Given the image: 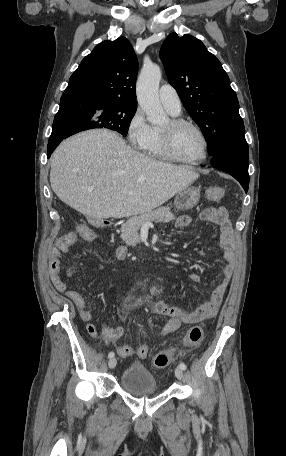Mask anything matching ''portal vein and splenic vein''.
I'll list each match as a JSON object with an SVG mask.
<instances>
[{
    "instance_id": "obj_1",
    "label": "portal vein and splenic vein",
    "mask_w": 286,
    "mask_h": 456,
    "mask_svg": "<svg viewBox=\"0 0 286 456\" xmlns=\"http://www.w3.org/2000/svg\"><path fill=\"white\" fill-rule=\"evenodd\" d=\"M89 190H92V188H89ZM149 224V222H147Z\"/></svg>"
}]
</instances>
